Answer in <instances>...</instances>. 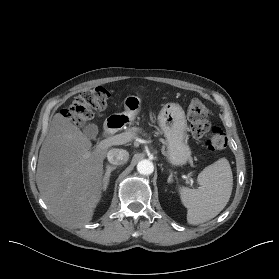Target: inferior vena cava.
I'll return each instance as SVG.
<instances>
[{
  "label": "inferior vena cava",
  "mask_w": 279,
  "mask_h": 279,
  "mask_svg": "<svg viewBox=\"0 0 279 279\" xmlns=\"http://www.w3.org/2000/svg\"><path fill=\"white\" fill-rule=\"evenodd\" d=\"M108 161L114 165H122L129 159L128 151L124 149L112 148L107 153Z\"/></svg>",
  "instance_id": "602c4592"
}]
</instances>
